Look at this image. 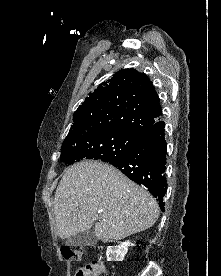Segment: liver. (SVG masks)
Masks as SVG:
<instances>
[{
	"label": "liver",
	"mask_w": 221,
	"mask_h": 276,
	"mask_svg": "<svg viewBox=\"0 0 221 276\" xmlns=\"http://www.w3.org/2000/svg\"><path fill=\"white\" fill-rule=\"evenodd\" d=\"M54 215L59 238L94 225L95 237L106 243L152 227L159 206L148 191L113 166L83 161L66 169L55 193Z\"/></svg>",
	"instance_id": "obj_1"
}]
</instances>
